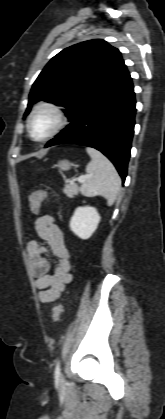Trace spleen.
Here are the masks:
<instances>
[{
  "label": "spleen",
  "instance_id": "3e777b00",
  "mask_svg": "<svg viewBox=\"0 0 165 419\" xmlns=\"http://www.w3.org/2000/svg\"><path fill=\"white\" fill-rule=\"evenodd\" d=\"M86 151L91 161L86 167L88 177L80 191L87 197L103 196L111 206L119 194L121 179L113 164L100 151L91 147H87Z\"/></svg>",
  "mask_w": 165,
  "mask_h": 419
}]
</instances>
